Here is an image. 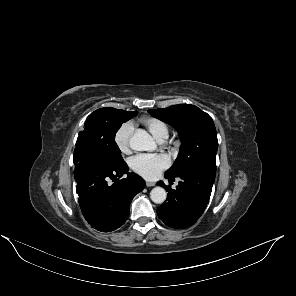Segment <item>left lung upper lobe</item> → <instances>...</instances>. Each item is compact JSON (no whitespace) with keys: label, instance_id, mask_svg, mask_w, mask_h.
Segmentation results:
<instances>
[{"label":"left lung upper lobe","instance_id":"1","mask_svg":"<svg viewBox=\"0 0 296 296\" xmlns=\"http://www.w3.org/2000/svg\"><path fill=\"white\" fill-rule=\"evenodd\" d=\"M148 112L172 125L179 133L182 145L173 166L165 173L169 177L201 167L216 169L217 133L212 118L190 104L151 109Z\"/></svg>","mask_w":296,"mask_h":296}]
</instances>
